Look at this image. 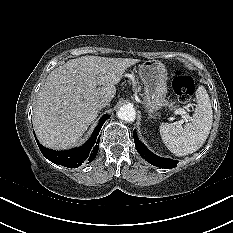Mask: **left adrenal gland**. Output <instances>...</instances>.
Returning <instances> with one entry per match:
<instances>
[{
  "mask_svg": "<svg viewBox=\"0 0 233 233\" xmlns=\"http://www.w3.org/2000/svg\"><path fill=\"white\" fill-rule=\"evenodd\" d=\"M149 118H155V117L149 114Z\"/></svg>",
  "mask_w": 233,
  "mask_h": 233,
  "instance_id": "1",
  "label": "left adrenal gland"
}]
</instances>
